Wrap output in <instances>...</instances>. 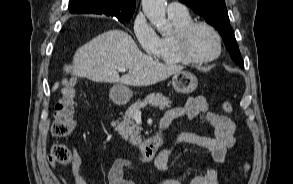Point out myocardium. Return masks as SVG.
<instances>
[{
    "instance_id": "f54148a6",
    "label": "myocardium",
    "mask_w": 293,
    "mask_h": 184,
    "mask_svg": "<svg viewBox=\"0 0 293 184\" xmlns=\"http://www.w3.org/2000/svg\"><path fill=\"white\" fill-rule=\"evenodd\" d=\"M207 28L215 37L217 43V51L207 58H195L188 51V42L192 32L198 28ZM174 46L178 57L183 61L191 64H206L213 62L220 57L222 53V39L218 31L209 23L204 21H192L191 23L180 28L174 35Z\"/></svg>"
}]
</instances>
